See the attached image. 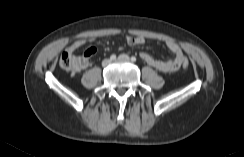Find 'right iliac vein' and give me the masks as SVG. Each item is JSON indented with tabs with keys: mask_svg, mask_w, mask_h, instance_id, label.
<instances>
[{
	"mask_svg": "<svg viewBox=\"0 0 244 157\" xmlns=\"http://www.w3.org/2000/svg\"><path fill=\"white\" fill-rule=\"evenodd\" d=\"M110 63H111V60H109V59H105V60H103V62H102V66H103V67H107Z\"/></svg>",
	"mask_w": 244,
	"mask_h": 157,
	"instance_id": "1",
	"label": "right iliac vein"
}]
</instances>
